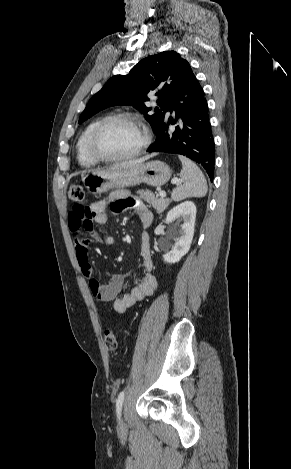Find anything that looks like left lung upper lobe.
Masks as SVG:
<instances>
[{"mask_svg": "<svg viewBox=\"0 0 291 469\" xmlns=\"http://www.w3.org/2000/svg\"><path fill=\"white\" fill-rule=\"evenodd\" d=\"M190 64L175 51H164L148 56L138 62L127 75L110 78L104 87L88 102L79 123L97 112L114 105H132L145 114L152 129L157 131L165 121L166 107L171 98L185 82ZM148 94L158 97L155 114L148 115L151 108L144 104Z\"/></svg>", "mask_w": 291, "mask_h": 469, "instance_id": "obj_1", "label": "left lung upper lobe"}]
</instances>
